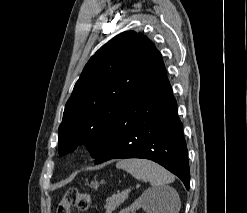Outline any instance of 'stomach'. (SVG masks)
I'll return each instance as SVG.
<instances>
[{
    "instance_id": "1",
    "label": "stomach",
    "mask_w": 247,
    "mask_h": 213,
    "mask_svg": "<svg viewBox=\"0 0 247 213\" xmlns=\"http://www.w3.org/2000/svg\"><path fill=\"white\" fill-rule=\"evenodd\" d=\"M91 185L94 187V188H97L98 187V182H91Z\"/></svg>"
}]
</instances>
